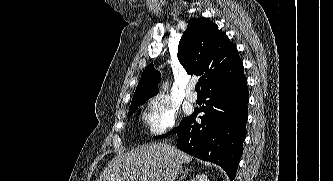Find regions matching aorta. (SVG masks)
<instances>
[{"label": "aorta", "instance_id": "762f6f07", "mask_svg": "<svg viewBox=\"0 0 333 181\" xmlns=\"http://www.w3.org/2000/svg\"><path fill=\"white\" fill-rule=\"evenodd\" d=\"M168 89V85L167 83L162 85V90L165 92Z\"/></svg>", "mask_w": 333, "mask_h": 181}]
</instances>
